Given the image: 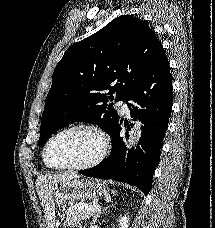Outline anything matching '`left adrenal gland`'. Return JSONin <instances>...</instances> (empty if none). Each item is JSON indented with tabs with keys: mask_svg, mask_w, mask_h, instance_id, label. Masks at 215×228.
Wrapping results in <instances>:
<instances>
[{
	"mask_svg": "<svg viewBox=\"0 0 215 228\" xmlns=\"http://www.w3.org/2000/svg\"><path fill=\"white\" fill-rule=\"evenodd\" d=\"M108 208H110V206H108ZM108 208H103V210H99V212H97V214H95V216H93L91 224H95V222H97L98 218H100L102 212H106V210H108Z\"/></svg>",
	"mask_w": 215,
	"mask_h": 228,
	"instance_id": "a2214340",
	"label": "left adrenal gland"
}]
</instances>
